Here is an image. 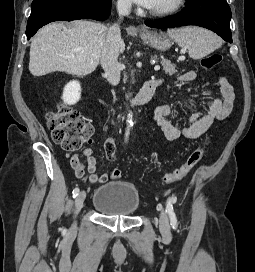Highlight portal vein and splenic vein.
<instances>
[{
	"label": "portal vein and splenic vein",
	"instance_id": "18ae733b",
	"mask_svg": "<svg viewBox=\"0 0 255 272\" xmlns=\"http://www.w3.org/2000/svg\"><path fill=\"white\" fill-rule=\"evenodd\" d=\"M154 70H155V71L160 70V65H155Z\"/></svg>",
	"mask_w": 255,
	"mask_h": 272
}]
</instances>
